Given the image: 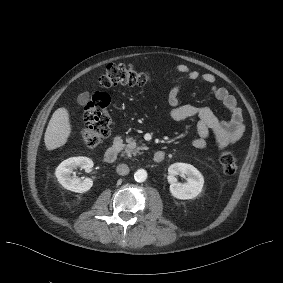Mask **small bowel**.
<instances>
[{
  "mask_svg": "<svg viewBox=\"0 0 283 283\" xmlns=\"http://www.w3.org/2000/svg\"><path fill=\"white\" fill-rule=\"evenodd\" d=\"M176 70L189 80L205 83L212 95L222 102L228 112L227 119H220L209 107L180 104L179 95L182 91L183 83L174 85L168 94V101L172 107L170 118L175 122L197 118V137L192 140L193 147L198 149L206 147L211 133L217 137L221 148L240 140L245 132V125L242 112L229 90L218 86L216 77L213 74L201 73L185 64L177 65Z\"/></svg>",
  "mask_w": 283,
  "mask_h": 283,
  "instance_id": "c3829d8e",
  "label": "small bowel"
}]
</instances>
